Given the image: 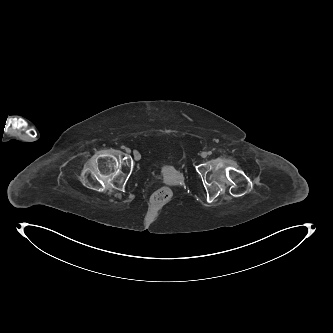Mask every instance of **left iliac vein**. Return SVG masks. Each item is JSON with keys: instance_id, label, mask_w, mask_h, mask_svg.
<instances>
[{"instance_id": "1", "label": "left iliac vein", "mask_w": 333, "mask_h": 333, "mask_svg": "<svg viewBox=\"0 0 333 333\" xmlns=\"http://www.w3.org/2000/svg\"><path fill=\"white\" fill-rule=\"evenodd\" d=\"M207 155H208V153H207V152H202V153H201V157H202V158H206V157H207Z\"/></svg>"}]
</instances>
